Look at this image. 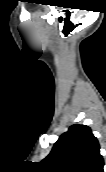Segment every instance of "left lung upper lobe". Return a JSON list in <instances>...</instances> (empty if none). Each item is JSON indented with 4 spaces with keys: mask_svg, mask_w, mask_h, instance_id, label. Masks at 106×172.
<instances>
[{
    "mask_svg": "<svg viewBox=\"0 0 106 172\" xmlns=\"http://www.w3.org/2000/svg\"><path fill=\"white\" fill-rule=\"evenodd\" d=\"M43 172H104L97 138L89 126L72 125L39 163Z\"/></svg>",
    "mask_w": 106,
    "mask_h": 172,
    "instance_id": "5c2ea615",
    "label": "left lung upper lobe"
}]
</instances>
